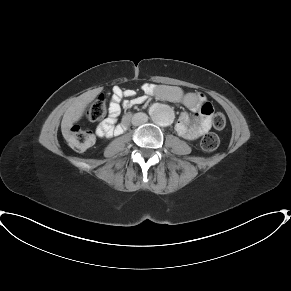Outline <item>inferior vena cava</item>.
<instances>
[{
  "label": "inferior vena cava",
  "instance_id": "1",
  "mask_svg": "<svg viewBox=\"0 0 291 291\" xmlns=\"http://www.w3.org/2000/svg\"><path fill=\"white\" fill-rule=\"evenodd\" d=\"M148 121V116L145 113L139 112L133 115L132 124L135 126H139Z\"/></svg>",
  "mask_w": 291,
  "mask_h": 291
}]
</instances>
